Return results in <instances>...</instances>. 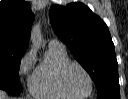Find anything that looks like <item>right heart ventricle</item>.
Returning a JSON list of instances; mask_svg holds the SVG:
<instances>
[{"label": "right heart ventricle", "mask_w": 128, "mask_h": 99, "mask_svg": "<svg viewBox=\"0 0 128 99\" xmlns=\"http://www.w3.org/2000/svg\"><path fill=\"white\" fill-rule=\"evenodd\" d=\"M69 62L66 51L49 47L43 61L35 68L30 78L31 94L38 99H68L58 85L60 68Z\"/></svg>", "instance_id": "1"}]
</instances>
